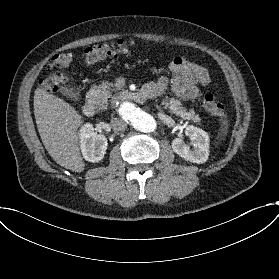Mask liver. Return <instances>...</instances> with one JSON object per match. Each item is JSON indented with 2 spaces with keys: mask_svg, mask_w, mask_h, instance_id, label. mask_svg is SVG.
Segmentation results:
<instances>
[{
  "mask_svg": "<svg viewBox=\"0 0 279 279\" xmlns=\"http://www.w3.org/2000/svg\"><path fill=\"white\" fill-rule=\"evenodd\" d=\"M34 116L45 149L60 166L82 172L78 128L81 115L64 100L37 88L34 92Z\"/></svg>",
  "mask_w": 279,
  "mask_h": 279,
  "instance_id": "liver-1",
  "label": "liver"
}]
</instances>
